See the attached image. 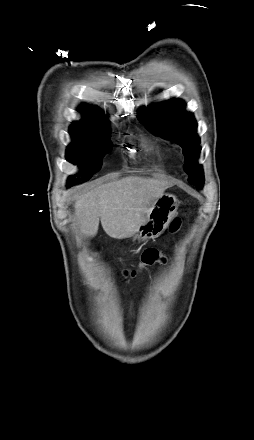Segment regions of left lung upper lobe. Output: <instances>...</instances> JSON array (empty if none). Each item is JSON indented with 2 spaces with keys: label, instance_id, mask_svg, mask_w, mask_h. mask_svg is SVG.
Returning <instances> with one entry per match:
<instances>
[{
  "label": "left lung upper lobe",
  "instance_id": "5c2ea615",
  "mask_svg": "<svg viewBox=\"0 0 254 440\" xmlns=\"http://www.w3.org/2000/svg\"><path fill=\"white\" fill-rule=\"evenodd\" d=\"M185 106L183 101L171 99L159 105L141 108L140 121L154 134L172 139L182 147L188 181L202 187L203 171L197 163L200 154L197 124L193 115L185 111Z\"/></svg>",
  "mask_w": 254,
  "mask_h": 440
}]
</instances>
